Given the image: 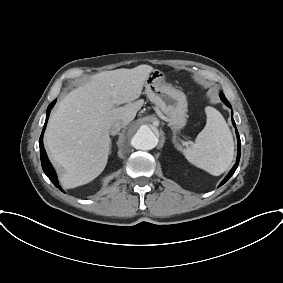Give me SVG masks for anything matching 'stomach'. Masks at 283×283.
Here are the masks:
<instances>
[{"label":"stomach","mask_w":283,"mask_h":283,"mask_svg":"<svg viewBox=\"0 0 283 283\" xmlns=\"http://www.w3.org/2000/svg\"><path fill=\"white\" fill-rule=\"evenodd\" d=\"M145 93L168 118L173 130L183 128L187 120V99L185 94L165 82L160 70H153L145 81Z\"/></svg>","instance_id":"0dacf381"}]
</instances>
